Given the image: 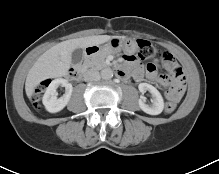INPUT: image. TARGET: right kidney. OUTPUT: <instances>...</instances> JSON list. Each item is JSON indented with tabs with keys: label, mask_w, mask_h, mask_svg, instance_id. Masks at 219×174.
<instances>
[{
	"label": "right kidney",
	"mask_w": 219,
	"mask_h": 174,
	"mask_svg": "<svg viewBox=\"0 0 219 174\" xmlns=\"http://www.w3.org/2000/svg\"><path fill=\"white\" fill-rule=\"evenodd\" d=\"M59 86L65 87V93L60 98L57 97V88ZM72 85L63 78L53 80L47 87L43 96L42 102L46 110L50 113L61 111L69 102L72 95Z\"/></svg>",
	"instance_id": "obj_1"
}]
</instances>
